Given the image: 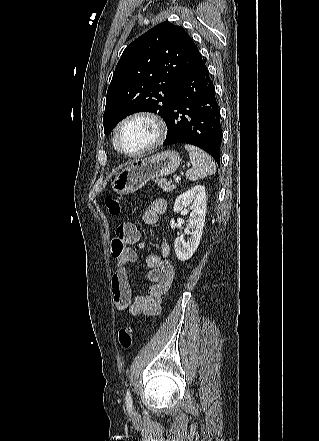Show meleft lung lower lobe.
<instances>
[{
  "label": "left lung lower lobe",
  "instance_id": "1",
  "mask_svg": "<svg viewBox=\"0 0 319 441\" xmlns=\"http://www.w3.org/2000/svg\"><path fill=\"white\" fill-rule=\"evenodd\" d=\"M163 146L186 143L209 153L219 164L222 129L213 84L201 59L180 83Z\"/></svg>",
  "mask_w": 319,
  "mask_h": 441
}]
</instances>
